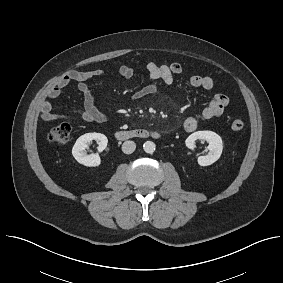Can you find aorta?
Instances as JSON below:
<instances>
[{
    "label": "aorta",
    "mask_w": 283,
    "mask_h": 283,
    "mask_svg": "<svg viewBox=\"0 0 283 283\" xmlns=\"http://www.w3.org/2000/svg\"><path fill=\"white\" fill-rule=\"evenodd\" d=\"M143 149L146 153L152 154L156 149V145L152 141H146L143 145Z\"/></svg>",
    "instance_id": "aorta-1"
}]
</instances>
